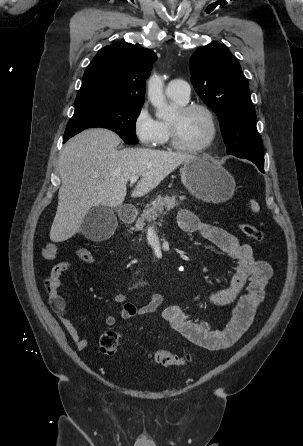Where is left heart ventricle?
Returning a JSON list of instances; mask_svg holds the SVG:
<instances>
[{
	"label": "left heart ventricle",
	"mask_w": 303,
	"mask_h": 446,
	"mask_svg": "<svg viewBox=\"0 0 303 446\" xmlns=\"http://www.w3.org/2000/svg\"><path fill=\"white\" fill-rule=\"evenodd\" d=\"M169 121L176 125L178 139L183 145H201L209 136V122L202 111L196 110L186 115H180L176 111Z\"/></svg>",
	"instance_id": "obj_1"
}]
</instances>
